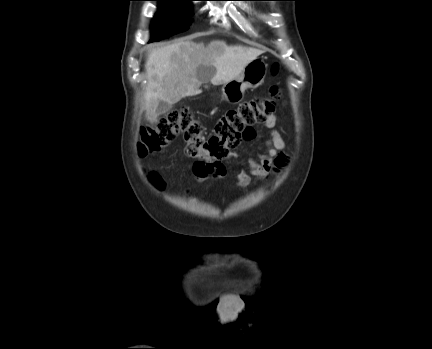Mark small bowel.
<instances>
[{
	"instance_id": "c3829d8e",
	"label": "small bowel",
	"mask_w": 432,
	"mask_h": 349,
	"mask_svg": "<svg viewBox=\"0 0 432 349\" xmlns=\"http://www.w3.org/2000/svg\"><path fill=\"white\" fill-rule=\"evenodd\" d=\"M264 126L269 130V138L266 140V150L257 155L256 158L248 160L247 168H240L237 170V183L239 186H247L251 182L252 177L259 180L267 178V176L277 167L283 166L285 157L282 153L285 148V141L276 129L277 119L274 115L269 116L264 121ZM256 137L247 139L252 140ZM192 172L199 182H205L211 179L223 178L226 174V169H208L200 162H195L192 165Z\"/></svg>"
}]
</instances>
